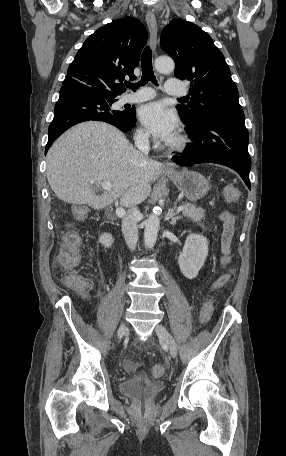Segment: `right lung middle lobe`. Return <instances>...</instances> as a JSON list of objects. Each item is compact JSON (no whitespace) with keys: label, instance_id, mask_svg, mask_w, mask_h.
<instances>
[{"label":"right lung middle lobe","instance_id":"right-lung-middle-lobe-1","mask_svg":"<svg viewBox=\"0 0 286 456\" xmlns=\"http://www.w3.org/2000/svg\"><path fill=\"white\" fill-rule=\"evenodd\" d=\"M108 110H109V113H113V114H119V113H121V111H112L110 108H109Z\"/></svg>","mask_w":286,"mask_h":456}]
</instances>
